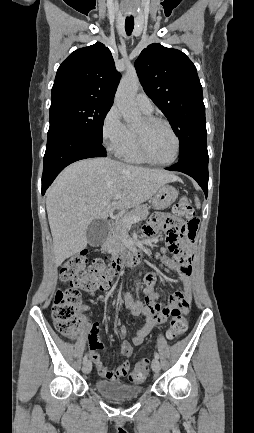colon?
<instances>
[{"mask_svg":"<svg viewBox=\"0 0 254 433\" xmlns=\"http://www.w3.org/2000/svg\"><path fill=\"white\" fill-rule=\"evenodd\" d=\"M169 220L174 224L168 229L167 243L173 254H185L188 245L195 242L199 218L186 195L174 204ZM87 251L69 257L62 265L61 279L68 287L60 289L52 306V319L57 331L69 338L75 337L81 327V292L91 293L112 279L111 263L107 259H96L90 265ZM171 320L167 327L168 340H176L188 327L189 301L181 299L170 309ZM150 370V361H140L129 375L131 382H143Z\"/></svg>","mask_w":254,"mask_h":433,"instance_id":"colon-1","label":"colon"}]
</instances>
